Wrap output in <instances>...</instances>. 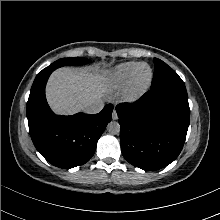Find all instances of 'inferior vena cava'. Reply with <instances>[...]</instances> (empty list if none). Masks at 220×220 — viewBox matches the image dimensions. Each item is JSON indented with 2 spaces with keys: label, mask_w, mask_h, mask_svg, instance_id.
Segmentation results:
<instances>
[{
  "label": "inferior vena cava",
  "mask_w": 220,
  "mask_h": 220,
  "mask_svg": "<svg viewBox=\"0 0 220 220\" xmlns=\"http://www.w3.org/2000/svg\"><path fill=\"white\" fill-rule=\"evenodd\" d=\"M104 108V102L101 99L94 100L85 105L84 111L88 114L99 113Z\"/></svg>",
  "instance_id": "602c4592"
}]
</instances>
